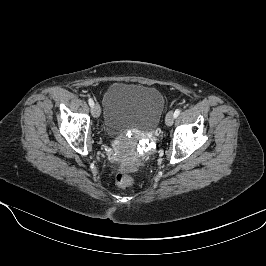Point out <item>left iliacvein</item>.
Returning <instances> with one entry per match:
<instances>
[{"label": "left iliac vein", "mask_w": 266, "mask_h": 266, "mask_svg": "<svg viewBox=\"0 0 266 266\" xmlns=\"http://www.w3.org/2000/svg\"><path fill=\"white\" fill-rule=\"evenodd\" d=\"M165 123L167 126H171L174 123V113L173 112H169L166 115Z\"/></svg>", "instance_id": "left-iliac-vein-1"}]
</instances>
